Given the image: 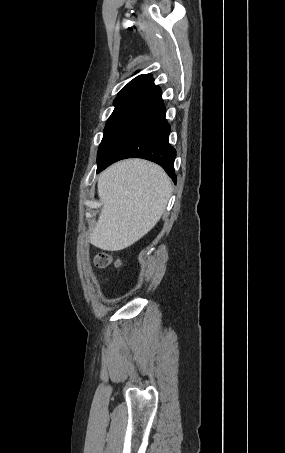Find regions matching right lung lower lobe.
<instances>
[{
	"instance_id": "98d812e1",
	"label": "right lung lower lobe",
	"mask_w": 285,
	"mask_h": 453,
	"mask_svg": "<svg viewBox=\"0 0 285 453\" xmlns=\"http://www.w3.org/2000/svg\"><path fill=\"white\" fill-rule=\"evenodd\" d=\"M162 91L152 80L120 106L104 133L97 156V173L125 158L138 157L164 168L176 183V150L169 144Z\"/></svg>"
}]
</instances>
